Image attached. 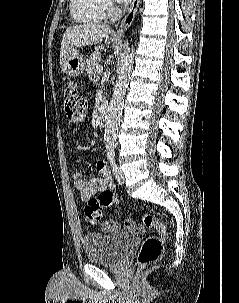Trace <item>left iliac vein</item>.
I'll return each mask as SVG.
<instances>
[{
	"instance_id": "1",
	"label": "left iliac vein",
	"mask_w": 239,
	"mask_h": 303,
	"mask_svg": "<svg viewBox=\"0 0 239 303\" xmlns=\"http://www.w3.org/2000/svg\"><path fill=\"white\" fill-rule=\"evenodd\" d=\"M114 174H115V177H116L117 181L120 184H123L124 183V173H123V170L120 167H117V169L114 172Z\"/></svg>"
}]
</instances>
